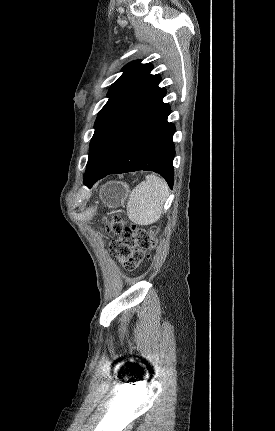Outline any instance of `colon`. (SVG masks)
I'll use <instances>...</instances> for the list:
<instances>
[{"label": "colon", "instance_id": "colon-1", "mask_svg": "<svg viewBox=\"0 0 275 431\" xmlns=\"http://www.w3.org/2000/svg\"><path fill=\"white\" fill-rule=\"evenodd\" d=\"M108 230L118 235L110 243V251L120 258L128 269L137 268L148 251L156 245L157 229H145L125 224L114 217L108 222Z\"/></svg>", "mask_w": 275, "mask_h": 431}]
</instances>
